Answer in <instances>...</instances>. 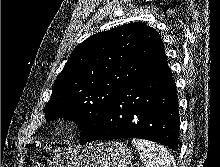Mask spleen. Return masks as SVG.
Wrapping results in <instances>:
<instances>
[{
    "label": "spleen",
    "mask_w": 220,
    "mask_h": 167,
    "mask_svg": "<svg viewBox=\"0 0 220 167\" xmlns=\"http://www.w3.org/2000/svg\"><path fill=\"white\" fill-rule=\"evenodd\" d=\"M132 144L139 151L145 167H176L174 157L167 148L144 139H133Z\"/></svg>",
    "instance_id": "3e777b00"
}]
</instances>
